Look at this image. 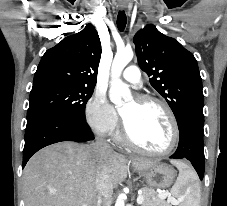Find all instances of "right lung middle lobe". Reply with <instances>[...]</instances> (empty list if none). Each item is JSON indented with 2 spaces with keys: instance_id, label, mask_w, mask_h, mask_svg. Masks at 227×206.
I'll return each instance as SVG.
<instances>
[{
  "instance_id": "right-lung-middle-lobe-1",
  "label": "right lung middle lobe",
  "mask_w": 227,
  "mask_h": 206,
  "mask_svg": "<svg viewBox=\"0 0 227 206\" xmlns=\"http://www.w3.org/2000/svg\"><path fill=\"white\" fill-rule=\"evenodd\" d=\"M94 87L78 86L58 81L34 83L30 92L27 119L48 113L84 120L87 101Z\"/></svg>"
}]
</instances>
